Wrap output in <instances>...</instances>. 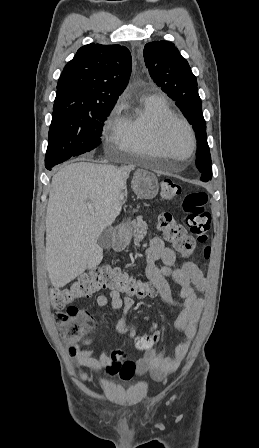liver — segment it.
Wrapping results in <instances>:
<instances>
[{"mask_svg":"<svg viewBox=\"0 0 259 448\" xmlns=\"http://www.w3.org/2000/svg\"><path fill=\"white\" fill-rule=\"evenodd\" d=\"M132 168L78 162L52 178L46 212V268L63 288L103 258L97 240L122 210L120 192ZM93 210L94 214H91Z\"/></svg>","mask_w":259,"mask_h":448,"instance_id":"liver-1","label":"liver"}]
</instances>
